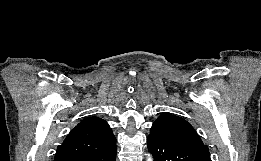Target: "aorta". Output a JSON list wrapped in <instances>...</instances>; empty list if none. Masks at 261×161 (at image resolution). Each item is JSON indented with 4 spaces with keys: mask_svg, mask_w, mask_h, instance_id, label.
Returning <instances> with one entry per match:
<instances>
[{
    "mask_svg": "<svg viewBox=\"0 0 261 161\" xmlns=\"http://www.w3.org/2000/svg\"><path fill=\"white\" fill-rule=\"evenodd\" d=\"M148 161H152V157L151 156H148Z\"/></svg>",
    "mask_w": 261,
    "mask_h": 161,
    "instance_id": "aorta-1",
    "label": "aorta"
}]
</instances>
